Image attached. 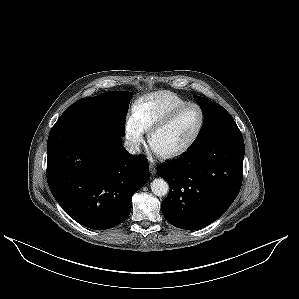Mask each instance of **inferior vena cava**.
I'll return each mask as SVG.
<instances>
[{
  "instance_id": "inferior-vena-cava-1",
  "label": "inferior vena cava",
  "mask_w": 299,
  "mask_h": 299,
  "mask_svg": "<svg viewBox=\"0 0 299 299\" xmlns=\"http://www.w3.org/2000/svg\"><path fill=\"white\" fill-rule=\"evenodd\" d=\"M124 147L125 149L133 155H137L140 154L141 150H140V144L134 141H126L124 143Z\"/></svg>"
}]
</instances>
